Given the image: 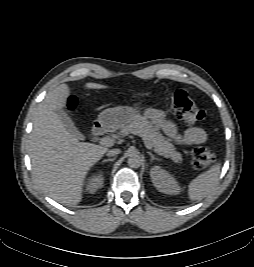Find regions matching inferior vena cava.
I'll list each match as a JSON object with an SVG mask.
<instances>
[{
  "label": "inferior vena cava",
  "instance_id": "obj_1",
  "mask_svg": "<svg viewBox=\"0 0 254 267\" xmlns=\"http://www.w3.org/2000/svg\"><path fill=\"white\" fill-rule=\"evenodd\" d=\"M120 153V149H111L107 151V156H115Z\"/></svg>",
  "mask_w": 254,
  "mask_h": 267
}]
</instances>
